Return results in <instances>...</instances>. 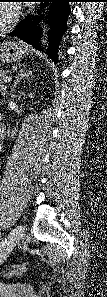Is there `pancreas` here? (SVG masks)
Listing matches in <instances>:
<instances>
[{
    "instance_id": "pancreas-1",
    "label": "pancreas",
    "mask_w": 107,
    "mask_h": 297,
    "mask_svg": "<svg viewBox=\"0 0 107 297\" xmlns=\"http://www.w3.org/2000/svg\"><path fill=\"white\" fill-rule=\"evenodd\" d=\"M7 76H8V72L7 71H1L0 72V87L1 89H4L6 87V79H7Z\"/></svg>"
}]
</instances>
